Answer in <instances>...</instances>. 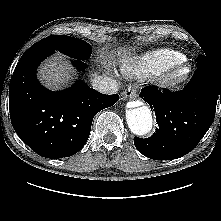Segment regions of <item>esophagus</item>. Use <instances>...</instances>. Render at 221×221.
Wrapping results in <instances>:
<instances>
[{"label": "esophagus", "instance_id": "1", "mask_svg": "<svg viewBox=\"0 0 221 221\" xmlns=\"http://www.w3.org/2000/svg\"><path fill=\"white\" fill-rule=\"evenodd\" d=\"M121 95L123 99H135L137 98V89L135 87H129Z\"/></svg>", "mask_w": 221, "mask_h": 221}]
</instances>
